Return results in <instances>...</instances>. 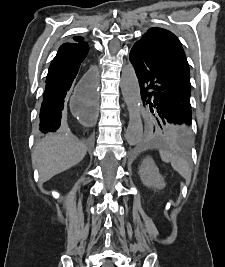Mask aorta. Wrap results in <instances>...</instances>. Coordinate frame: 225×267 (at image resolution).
<instances>
[{"label":"aorta","mask_w":225,"mask_h":267,"mask_svg":"<svg viewBox=\"0 0 225 267\" xmlns=\"http://www.w3.org/2000/svg\"><path fill=\"white\" fill-rule=\"evenodd\" d=\"M121 91L129 111L126 140L128 144L136 145L140 142L143 134L141 95L134 67L130 63L122 70Z\"/></svg>","instance_id":"obj_1"}]
</instances>
